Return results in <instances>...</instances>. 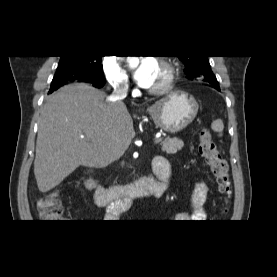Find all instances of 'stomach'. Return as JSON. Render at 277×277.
<instances>
[{"mask_svg":"<svg viewBox=\"0 0 277 277\" xmlns=\"http://www.w3.org/2000/svg\"><path fill=\"white\" fill-rule=\"evenodd\" d=\"M147 111L158 128L174 134L194 120L198 112V103L188 93L174 91L150 106Z\"/></svg>","mask_w":277,"mask_h":277,"instance_id":"0dacf381","label":"stomach"}]
</instances>
